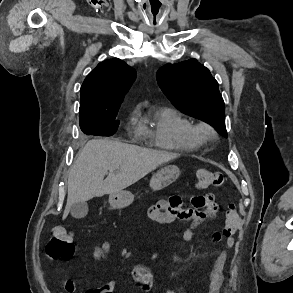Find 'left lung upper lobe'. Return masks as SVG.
<instances>
[{
    "label": "left lung upper lobe",
    "mask_w": 293,
    "mask_h": 293,
    "mask_svg": "<svg viewBox=\"0 0 293 293\" xmlns=\"http://www.w3.org/2000/svg\"><path fill=\"white\" fill-rule=\"evenodd\" d=\"M156 78L161 90L177 109L209 123L227 137L224 101L217 81L206 67L195 59L168 63L158 70Z\"/></svg>",
    "instance_id": "1"
}]
</instances>
